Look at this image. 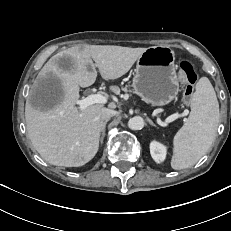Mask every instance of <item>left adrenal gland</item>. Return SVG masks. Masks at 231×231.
Wrapping results in <instances>:
<instances>
[{
    "instance_id": "left-adrenal-gland-1",
    "label": "left adrenal gland",
    "mask_w": 231,
    "mask_h": 231,
    "mask_svg": "<svg viewBox=\"0 0 231 231\" xmlns=\"http://www.w3.org/2000/svg\"><path fill=\"white\" fill-rule=\"evenodd\" d=\"M147 121H148V123H149L150 125L156 126V125L153 123V121H152L151 119H148V118H147Z\"/></svg>"
}]
</instances>
